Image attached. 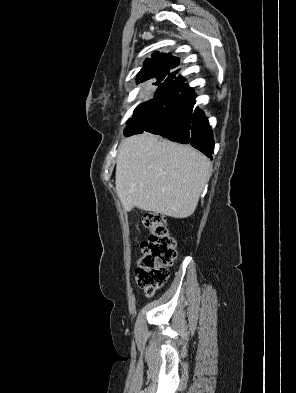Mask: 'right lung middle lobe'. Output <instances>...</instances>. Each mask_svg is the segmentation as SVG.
Here are the masks:
<instances>
[{
  "label": "right lung middle lobe",
  "instance_id": "dd1d6c3e",
  "mask_svg": "<svg viewBox=\"0 0 296 393\" xmlns=\"http://www.w3.org/2000/svg\"><path fill=\"white\" fill-rule=\"evenodd\" d=\"M162 81V79L161 80H157V82L155 83L156 85L157 84H159L160 82ZM149 102V101H148ZM148 102H145V103H142V104H140L135 110H134V118H135V116L146 106V104L148 103ZM130 121H128L127 122V124L129 123Z\"/></svg>",
  "mask_w": 296,
  "mask_h": 393
}]
</instances>
